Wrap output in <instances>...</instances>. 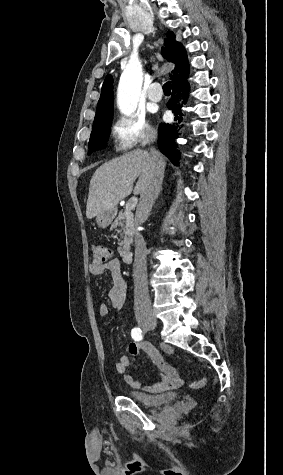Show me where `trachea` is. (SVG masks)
<instances>
[{
  "mask_svg": "<svg viewBox=\"0 0 283 475\" xmlns=\"http://www.w3.org/2000/svg\"><path fill=\"white\" fill-rule=\"evenodd\" d=\"M163 91H164V92H167V93H170V92H171V82H166V83H164V85H163Z\"/></svg>",
  "mask_w": 283,
  "mask_h": 475,
  "instance_id": "1",
  "label": "trachea"
}]
</instances>
